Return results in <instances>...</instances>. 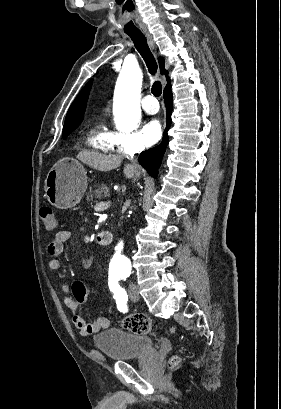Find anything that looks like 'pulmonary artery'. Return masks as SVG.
Masks as SVG:
<instances>
[{
    "mask_svg": "<svg viewBox=\"0 0 281 409\" xmlns=\"http://www.w3.org/2000/svg\"><path fill=\"white\" fill-rule=\"evenodd\" d=\"M155 101V94H144L141 100L143 109L149 113H156L158 110V104Z\"/></svg>",
    "mask_w": 281,
    "mask_h": 409,
    "instance_id": "obj_1",
    "label": "pulmonary artery"
}]
</instances>
